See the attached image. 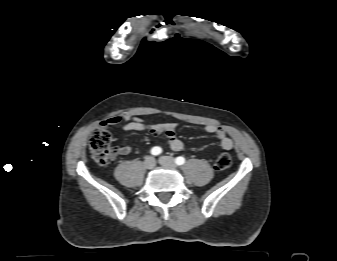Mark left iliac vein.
<instances>
[{
	"label": "left iliac vein",
	"mask_w": 337,
	"mask_h": 261,
	"mask_svg": "<svg viewBox=\"0 0 337 261\" xmlns=\"http://www.w3.org/2000/svg\"><path fill=\"white\" fill-rule=\"evenodd\" d=\"M159 163L164 167L176 168L175 160L170 156H161Z\"/></svg>",
	"instance_id": "left-iliac-vein-1"
}]
</instances>
